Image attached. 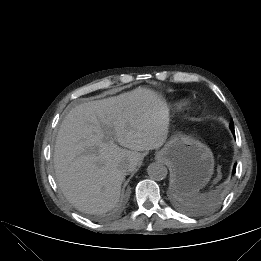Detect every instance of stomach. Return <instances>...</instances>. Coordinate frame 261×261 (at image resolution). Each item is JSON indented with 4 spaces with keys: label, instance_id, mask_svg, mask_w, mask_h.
<instances>
[{
    "label": "stomach",
    "instance_id": "0dacf381",
    "mask_svg": "<svg viewBox=\"0 0 261 261\" xmlns=\"http://www.w3.org/2000/svg\"><path fill=\"white\" fill-rule=\"evenodd\" d=\"M156 159L170 168L171 186L180 195L198 192L213 174L211 150L191 136L174 135L156 153Z\"/></svg>",
    "mask_w": 261,
    "mask_h": 261
}]
</instances>
